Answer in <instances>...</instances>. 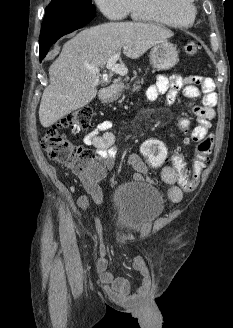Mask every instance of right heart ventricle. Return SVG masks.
<instances>
[{
  "mask_svg": "<svg viewBox=\"0 0 233 328\" xmlns=\"http://www.w3.org/2000/svg\"><path fill=\"white\" fill-rule=\"evenodd\" d=\"M190 0H130L129 14L134 20L175 28H187L194 21Z\"/></svg>",
  "mask_w": 233,
  "mask_h": 328,
  "instance_id": "e07e8e85",
  "label": "right heart ventricle"
}]
</instances>
